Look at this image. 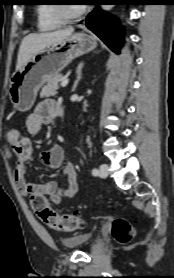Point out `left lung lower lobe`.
Instances as JSON below:
<instances>
[{"mask_svg":"<svg viewBox=\"0 0 174 278\" xmlns=\"http://www.w3.org/2000/svg\"><path fill=\"white\" fill-rule=\"evenodd\" d=\"M100 2L113 3L116 2V0H100ZM86 26L93 33H95L110 49L116 53H119V48L122 45V32L116 18L107 14L105 11L101 10L99 6H97L87 16Z\"/></svg>","mask_w":174,"mask_h":278,"instance_id":"obj_1","label":"left lung lower lobe"}]
</instances>
